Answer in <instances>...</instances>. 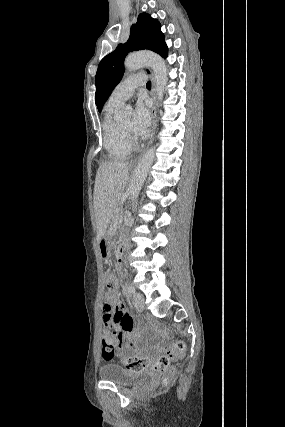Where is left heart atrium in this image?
<instances>
[{
    "label": "left heart atrium",
    "mask_w": 285,
    "mask_h": 427,
    "mask_svg": "<svg viewBox=\"0 0 285 427\" xmlns=\"http://www.w3.org/2000/svg\"><path fill=\"white\" fill-rule=\"evenodd\" d=\"M151 122L150 111L146 103L141 99L137 102L134 119H133V132L135 136L142 138L147 135Z\"/></svg>",
    "instance_id": "1"
}]
</instances>
